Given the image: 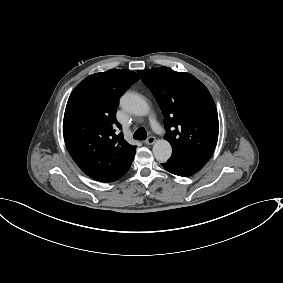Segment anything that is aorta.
<instances>
[{
    "mask_svg": "<svg viewBox=\"0 0 283 283\" xmlns=\"http://www.w3.org/2000/svg\"><path fill=\"white\" fill-rule=\"evenodd\" d=\"M120 105L127 112L138 116H145L150 110L148 103L132 92H127L121 97ZM153 154L157 161L166 162L172 155V147L168 141L158 140L153 145Z\"/></svg>",
    "mask_w": 283,
    "mask_h": 283,
    "instance_id": "1",
    "label": "aorta"
}]
</instances>
